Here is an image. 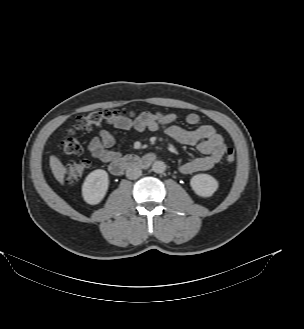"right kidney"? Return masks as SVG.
Masks as SVG:
<instances>
[{
	"label": "right kidney",
	"instance_id": "obj_1",
	"mask_svg": "<svg viewBox=\"0 0 304 329\" xmlns=\"http://www.w3.org/2000/svg\"><path fill=\"white\" fill-rule=\"evenodd\" d=\"M109 185L108 173L103 169L92 171L82 185V196L91 205H96L104 198Z\"/></svg>",
	"mask_w": 304,
	"mask_h": 329
}]
</instances>
